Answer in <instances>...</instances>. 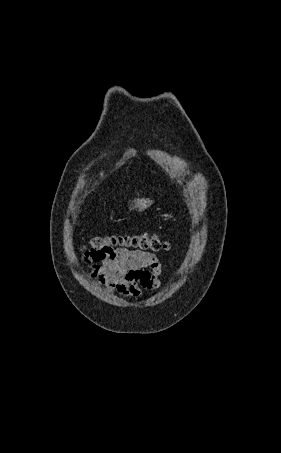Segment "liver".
Masks as SVG:
<instances>
[{"label":"liver","instance_id":"6515ba94","mask_svg":"<svg viewBox=\"0 0 281 453\" xmlns=\"http://www.w3.org/2000/svg\"><path fill=\"white\" fill-rule=\"evenodd\" d=\"M153 200H150V198H136L135 204H131L130 210L132 208H138V210H145V208H148L150 204H152Z\"/></svg>","mask_w":281,"mask_h":453}]
</instances>
